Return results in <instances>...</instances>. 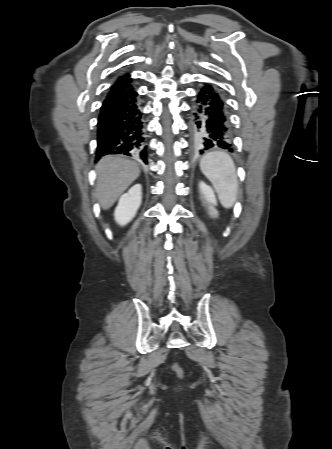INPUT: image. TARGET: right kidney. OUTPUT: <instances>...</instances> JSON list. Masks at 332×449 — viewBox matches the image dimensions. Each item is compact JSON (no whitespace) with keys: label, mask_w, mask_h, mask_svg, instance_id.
Listing matches in <instances>:
<instances>
[{"label":"right kidney","mask_w":332,"mask_h":449,"mask_svg":"<svg viewBox=\"0 0 332 449\" xmlns=\"http://www.w3.org/2000/svg\"><path fill=\"white\" fill-rule=\"evenodd\" d=\"M141 201L142 186L136 184L120 197L118 206L114 212L116 222L121 226L129 223L135 217Z\"/></svg>","instance_id":"obj_1"}]
</instances>
